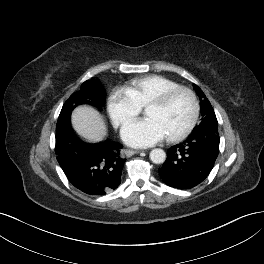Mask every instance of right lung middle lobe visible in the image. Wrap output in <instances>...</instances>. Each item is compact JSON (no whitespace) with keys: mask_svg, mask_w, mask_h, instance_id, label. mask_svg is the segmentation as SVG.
<instances>
[{"mask_svg":"<svg viewBox=\"0 0 264 264\" xmlns=\"http://www.w3.org/2000/svg\"><path fill=\"white\" fill-rule=\"evenodd\" d=\"M105 97L104 89L99 81L87 80L84 82L80 91L72 94L63 105L56 126V136L70 127V114L76 106L91 104L101 110L105 104Z\"/></svg>","mask_w":264,"mask_h":264,"instance_id":"dd1d6c3e","label":"right lung middle lobe"}]
</instances>
